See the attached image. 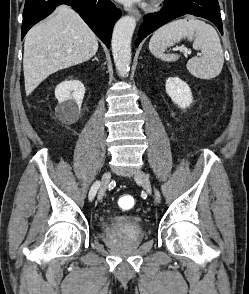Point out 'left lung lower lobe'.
<instances>
[{"label":"left lung lower lobe","instance_id":"obj_1","mask_svg":"<svg viewBox=\"0 0 249 294\" xmlns=\"http://www.w3.org/2000/svg\"><path fill=\"white\" fill-rule=\"evenodd\" d=\"M164 8L156 13L144 16L138 32L135 46L150 33L166 24L167 22L185 15L193 14L208 19L214 23L223 35L222 20L218 0H165Z\"/></svg>","mask_w":249,"mask_h":294}]
</instances>
